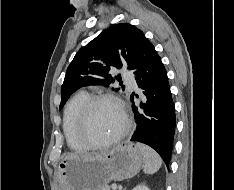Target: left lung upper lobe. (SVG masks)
I'll return each instance as SVG.
<instances>
[{"label": "left lung upper lobe", "instance_id": "left-lung-upper-lobe-1", "mask_svg": "<svg viewBox=\"0 0 234 190\" xmlns=\"http://www.w3.org/2000/svg\"><path fill=\"white\" fill-rule=\"evenodd\" d=\"M144 33L128 23L115 24L103 30L95 39L80 49L66 71L61 87L62 108L70 95L83 86L103 84L115 79L112 67L133 69ZM120 79V75L115 77ZM124 90V88H123Z\"/></svg>", "mask_w": 234, "mask_h": 190}]
</instances>
